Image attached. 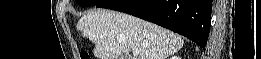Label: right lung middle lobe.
Segmentation results:
<instances>
[{
  "label": "right lung middle lobe",
  "instance_id": "dd1d6c3e",
  "mask_svg": "<svg viewBox=\"0 0 261 59\" xmlns=\"http://www.w3.org/2000/svg\"><path fill=\"white\" fill-rule=\"evenodd\" d=\"M101 1L102 0H76V3L79 4V6L81 7H88V6L97 5Z\"/></svg>",
  "mask_w": 261,
  "mask_h": 59
}]
</instances>
